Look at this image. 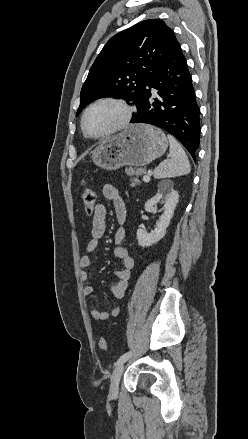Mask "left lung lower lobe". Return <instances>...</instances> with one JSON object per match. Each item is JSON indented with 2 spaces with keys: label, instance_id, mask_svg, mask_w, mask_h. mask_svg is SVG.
<instances>
[{
  "label": "left lung lower lobe",
  "instance_id": "0a47b994",
  "mask_svg": "<svg viewBox=\"0 0 248 439\" xmlns=\"http://www.w3.org/2000/svg\"><path fill=\"white\" fill-rule=\"evenodd\" d=\"M200 110L186 59L177 42L150 79L131 123L160 127L176 137L196 159Z\"/></svg>",
  "mask_w": 248,
  "mask_h": 439
}]
</instances>
